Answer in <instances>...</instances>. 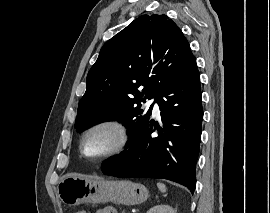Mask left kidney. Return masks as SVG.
Returning <instances> with one entry per match:
<instances>
[{
  "mask_svg": "<svg viewBox=\"0 0 270 213\" xmlns=\"http://www.w3.org/2000/svg\"><path fill=\"white\" fill-rule=\"evenodd\" d=\"M147 213H176V210L169 205L160 204L150 208Z\"/></svg>",
  "mask_w": 270,
  "mask_h": 213,
  "instance_id": "1",
  "label": "left kidney"
}]
</instances>
